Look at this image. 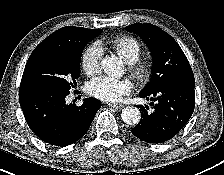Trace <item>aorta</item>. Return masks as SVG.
Returning a JSON list of instances; mask_svg holds the SVG:
<instances>
[{"instance_id": "1", "label": "aorta", "mask_w": 224, "mask_h": 175, "mask_svg": "<svg viewBox=\"0 0 224 175\" xmlns=\"http://www.w3.org/2000/svg\"><path fill=\"white\" fill-rule=\"evenodd\" d=\"M101 65L104 72L110 76L121 77L124 74L122 60L115 55L107 56ZM121 118L128 125H136L141 119V113L137 107L129 106L122 110Z\"/></svg>"}]
</instances>
